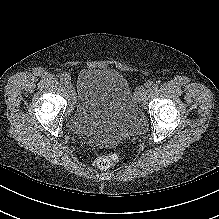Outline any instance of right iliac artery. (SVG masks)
<instances>
[{"label": "right iliac artery", "mask_w": 219, "mask_h": 219, "mask_svg": "<svg viewBox=\"0 0 219 219\" xmlns=\"http://www.w3.org/2000/svg\"><path fill=\"white\" fill-rule=\"evenodd\" d=\"M70 80V76L68 74H63V76L60 78L61 83L67 84L68 81Z\"/></svg>", "instance_id": "obj_1"}]
</instances>
